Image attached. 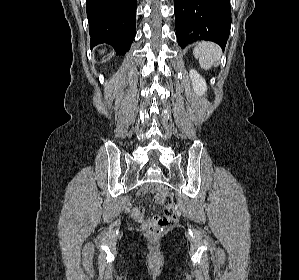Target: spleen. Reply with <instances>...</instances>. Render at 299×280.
I'll use <instances>...</instances> for the list:
<instances>
[{"label":"spleen","mask_w":299,"mask_h":280,"mask_svg":"<svg viewBox=\"0 0 299 280\" xmlns=\"http://www.w3.org/2000/svg\"><path fill=\"white\" fill-rule=\"evenodd\" d=\"M194 57L199 59L200 66L207 70L217 65L221 57V49L211 42H200L193 50Z\"/></svg>","instance_id":"3e777b00"}]
</instances>
